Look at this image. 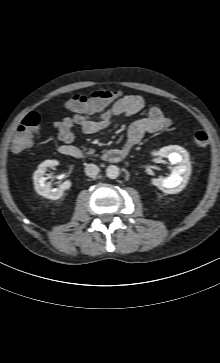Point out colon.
<instances>
[{"mask_svg":"<svg viewBox=\"0 0 220 363\" xmlns=\"http://www.w3.org/2000/svg\"><path fill=\"white\" fill-rule=\"evenodd\" d=\"M122 95L120 90L104 89L98 90L90 95L75 94L67 102L68 107L73 110L84 108L87 99H94L100 105H107L119 99ZM41 123V116L37 112L27 114L19 126L12 140V149L15 152L23 151L32 146L34 137ZM194 141L199 147H206L209 137L206 132L198 131L194 135Z\"/></svg>","mask_w":220,"mask_h":363,"instance_id":"1","label":"colon"}]
</instances>
